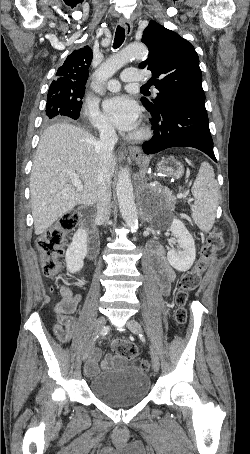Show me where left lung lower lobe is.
Returning a JSON list of instances; mask_svg holds the SVG:
<instances>
[{"label": "left lung lower lobe", "mask_w": 250, "mask_h": 454, "mask_svg": "<svg viewBox=\"0 0 250 454\" xmlns=\"http://www.w3.org/2000/svg\"><path fill=\"white\" fill-rule=\"evenodd\" d=\"M151 115L154 135L142 145L145 154L187 146L203 151L217 162L205 102L169 104Z\"/></svg>", "instance_id": "1"}]
</instances>
